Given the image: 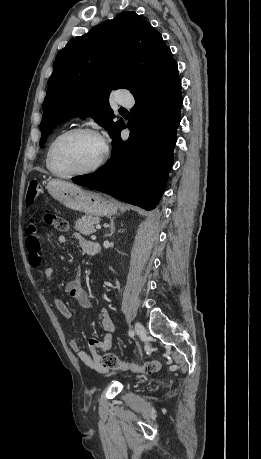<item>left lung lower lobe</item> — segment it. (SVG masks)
I'll return each instance as SVG.
<instances>
[{
	"label": "left lung lower lobe",
	"mask_w": 261,
	"mask_h": 459,
	"mask_svg": "<svg viewBox=\"0 0 261 459\" xmlns=\"http://www.w3.org/2000/svg\"><path fill=\"white\" fill-rule=\"evenodd\" d=\"M134 98L128 125L123 122L113 138L109 161L73 182L152 210L165 191L180 123L183 99L176 61ZM126 127L130 135L123 141L120 132Z\"/></svg>",
	"instance_id": "obj_1"
}]
</instances>
